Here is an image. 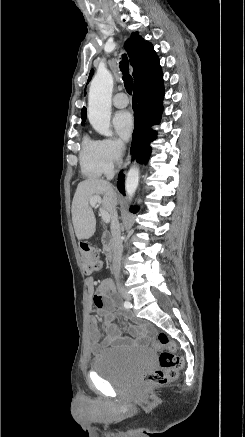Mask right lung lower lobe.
<instances>
[{"label": "right lung lower lobe", "instance_id": "obj_1", "mask_svg": "<svg viewBox=\"0 0 245 437\" xmlns=\"http://www.w3.org/2000/svg\"><path fill=\"white\" fill-rule=\"evenodd\" d=\"M163 96V77L150 84L134 87L132 107L135 127L132 135L131 153L137 162H146L150 156L149 144L156 138V132L150 127L160 123ZM117 187L125 195L123 173L119 174ZM137 210L136 207L130 208L131 212H137Z\"/></svg>", "mask_w": 245, "mask_h": 437}]
</instances>
